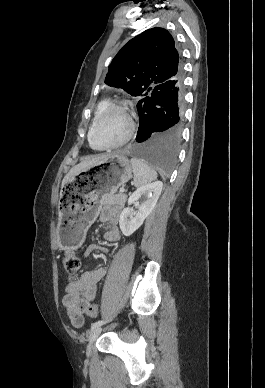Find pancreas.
Masks as SVG:
<instances>
[{
  "instance_id": "pancreas-1",
  "label": "pancreas",
  "mask_w": 265,
  "mask_h": 388,
  "mask_svg": "<svg viewBox=\"0 0 265 388\" xmlns=\"http://www.w3.org/2000/svg\"><path fill=\"white\" fill-rule=\"evenodd\" d=\"M126 198V194H122V192L120 194H105L102 198V204H118L123 208Z\"/></svg>"
}]
</instances>
